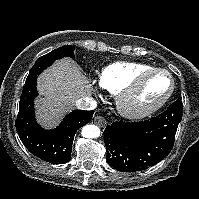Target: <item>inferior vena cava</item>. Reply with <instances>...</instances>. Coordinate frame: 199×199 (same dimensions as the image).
I'll return each instance as SVG.
<instances>
[{
  "label": "inferior vena cava",
  "instance_id": "inferior-vena-cava-1",
  "mask_svg": "<svg viewBox=\"0 0 199 199\" xmlns=\"http://www.w3.org/2000/svg\"><path fill=\"white\" fill-rule=\"evenodd\" d=\"M76 107L81 110H94L97 102L92 97H85L76 101Z\"/></svg>",
  "mask_w": 199,
  "mask_h": 199
}]
</instances>
